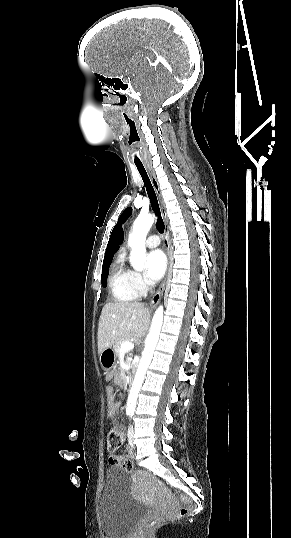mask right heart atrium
I'll return each mask as SVG.
<instances>
[{
  "label": "right heart atrium",
  "instance_id": "1",
  "mask_svg": "<svg viewBox=\"0 0 291 538\" xmlns=\"http://www.w3.org/2000/svg\"><path fill=\"white\" fill-rule=\"evenodd\" d=\"M133 278H134V283H135V286L138 290V292L140 294L144 293L147 288H148V285H147V282L145 281V279L143 278V276L139 273V272H133Z\"/></svg>",
  "mask_w": 291,
  "mask_h": 538
}]
</instances>
